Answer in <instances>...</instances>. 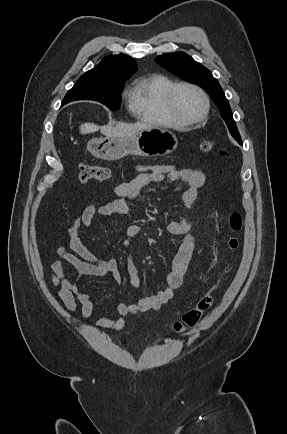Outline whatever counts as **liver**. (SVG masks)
Listing matches in <instances>:
<instances>
[{
	"label": "liver",
	"instance_id": "liver-1",
	"mask_svg": "<svg viewBox=\"0 0 287 434\" xmlns=\"http://www.w3.org/2000/svg\"><path fill=\"white\" fill-rule=\"evenodd\" d=\"M151 127V125L146 123H135V124H119L115 127L112 126H98L94 123H84L80 126L81 134H89L96 132L100 129L101 133L106 137H130L138 132Z\"/></svg>",
	"mask_w": 287,
	"mask_h": 434
}]
</instances>
